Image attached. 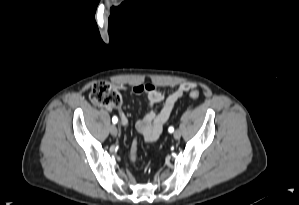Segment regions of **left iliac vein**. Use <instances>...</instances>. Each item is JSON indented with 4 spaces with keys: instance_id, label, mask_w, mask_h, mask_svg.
I'll return each mask as SVG.
<instances>
[{
    "instance_id": "obj_1",
    "label": "left iliac vein",
    "mask_w": 299,
    "mask_h": 205,
    "mask_svg": "<svg viewBox=\"0 0 299 205\" xmlns=\"http://www.w3.org/2000/svg\"><path fill=\"white\" fill-rule=\"evenodd\" d=\"M173 136L175 139H179L181 137V132L180 130H176L174 133H173Z\"/></svg>"
}]
</instances>
